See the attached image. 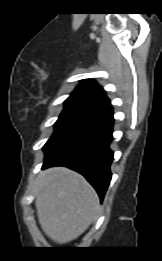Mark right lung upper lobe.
<instances>
[{
	"label": "right lung upper lobe",
	"instance_id": "1",
	"mask_svg": "<svg viewBox=\"0 0 162 261\" xmlns=\"http://www.w3.org/2000/svg\"><path fill=\"white\" fill-rule=\"evenodd\" d=\"M72 94L98 101L103 108L110 105L103 88L90 80H82L81 85Z\"/></svg>",
	"mask_w": 162,
	"mask_h": 261
}]
</instances>
